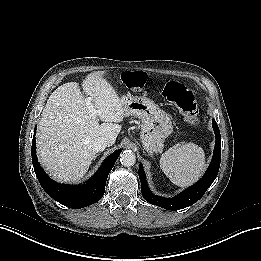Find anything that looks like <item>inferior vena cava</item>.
<instances>
[{"label": "inferior vena cava", "instance_id": "obj_1", "mask_svg": "<svg viewBox=\"0 0 261 261\" xmlns=\"http://www.w3.org/2000/svg\"><path fill=\"white\" fill-rule=\"evenodd\" d=\"M108 146H110V141L107 137L103 136L96 138L93 143V147L96 152H101Z\"/></svg>", "mask_w": 261, "mask_h": 261}]
</instances>
